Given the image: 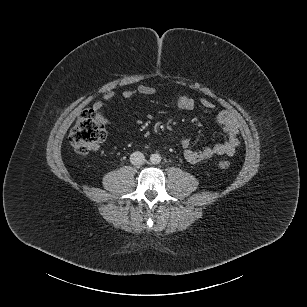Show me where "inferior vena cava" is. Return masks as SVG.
Returning <instances> with one entry per match:
<instances>
[{
	"mask_svg": "<svg viewBox=\"0 0 307 307\" xmlns=\"http://www.w3.org/2000/svg\"><path fill=\"white\" fill-rule=\"evenodd\" d=\"M130 162L133 165H141L145 162V157L144 154L142 152H133L130 156Z\"/></svg>",
	"mask_w": 307,
	"mask_h": 307,
	"instance_id": "inferior-vena-cava-1",
	"label": "inferior vena cava"
}]
</instances>
